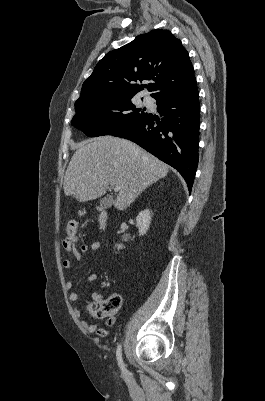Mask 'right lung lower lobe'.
Masks as SVG:
<instances>
[{"label": "right lung lower lobe", "mask_w": 265, "mask_h": 401, "mask_svg": "<svg viewBox=\"0 0 265 401\" xmlns=\"http://www.w3.org/2000/svg\"><path fill=\"white\" fill-rule=\"evenodd\" d=\"M199 92L197 83L173 94L155 98L160 120L148 114L113 136L129 139L174 167L192 189L198 166Z\"/></svg>", "instance_id": "98d812e1"}]
</instances>
